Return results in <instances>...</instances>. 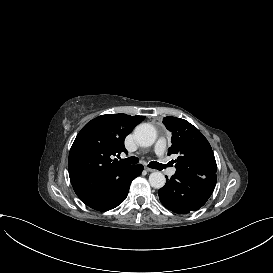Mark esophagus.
I'll use <instances>...</instances> for the list:
<instances>
[{
    "mask_svg": "<svg viewBox=\"0 0 273 273\" xmlns=\"http://www.w3.org/2000/svg\"><path fill=\"white\" fill-rule=\"evenodd\" d=\"M145 168V170L147 171V172H154V171H156L155 169H151V168H148V167H144Z\"/></svg>",
    "mask_w": 273,
    "mask_h": 273,
    "instance_id": "34e87169",
    "label": "esophagus"
}]
</instances>
